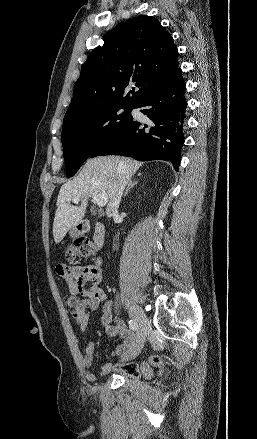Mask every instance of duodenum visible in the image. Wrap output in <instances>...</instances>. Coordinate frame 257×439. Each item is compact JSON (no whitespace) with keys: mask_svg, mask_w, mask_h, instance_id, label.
<instances>
[{"mask_svg":"<svg viewBox=\"0 0 257 439\" xmlns=\"http://www.w3.org/2000/svg\"><path fill=\"white\" fill-rule=\"evenodd\" d=\"M90 228V223L87 221H83L81 222V224L79 225V231L80 233H85L88 231V229ZM104 237H105V230L102 224L100 223H96L93 226V241L94 244L97 247H102L103 243H104ZM101 264L100 259H97L95 261V265L96 267H99Z\"/></svg>","mask_w":257,"mask_h":439,"instance_id":"410a0bca","label":"duodenum"}]
</instances>
